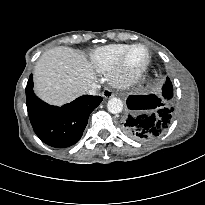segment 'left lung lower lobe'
<instances>
[{"label": "left lung lower lobe", "instance_id": "1", "mask_svg": "<svg viewBox=\"0 0 205 205\" xmlns=\"http://www.w3.org/2000/svg\"><path fill=\"white\" fill-rule=\"evenodd\" d=\"M166 100V97L163 96ZM162 98L151 94L130 95L127 106L128 116L122 122L126 135L137 141H153L160 137L169 127L174 108Z\"/></svg>", "mask_w": 205, "mask_h": 205}]
</instances>
